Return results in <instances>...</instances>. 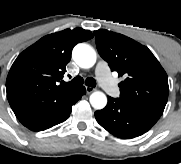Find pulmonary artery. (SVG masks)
I'll use <instances>...</instances> for the list:
<instances>
[{"mask_svg": "<svg viewBox=\"0 0 181 164\" xmlns=\"http://www.w3.org/2000/svg\"><path fill=\"white\" fill-rule=\"evenodd\" d=\"M106 67L99 65L97 67V78L102 88L109 94H114L115 86L111 81L110 76L107 74Z\"/></svg>", "mask_w": 181, "mask_h": 164, "instance_id": "1", "label": "pulmonary artery"}]
</instances>
